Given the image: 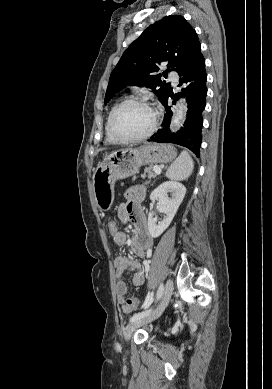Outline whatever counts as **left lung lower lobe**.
<instances>
[{
  "label": "left lung lower lobe",
  "instance_id": "obj_1",
  "mask_svg": "<svg viewBox=\"0 0 272 389\" xmlns=\"http://www.w3.org/2000/svg\"><path fill=\"white\" fill-rule=\"evenodd\" d=\"M179 76L181 77L179 86L185 83L186 87L183 89L182 94H177L176 97L186 96L188 102L187 119L184 126L177 133L170 134L169 125L173 113L168 106L167 99L169 96L172 97L169 92L162 102L167 112L162 123L163 128L152 135L149 141L179 144L189 148L199 156L203 124L202 112L205 108L207 95V74L205 71V59L201 53V46L192 55L187 65L179 73Z\"/></svg>",
  "mask_w": 272,
  "mask_h": 389
}]
</instances>
